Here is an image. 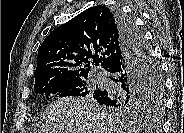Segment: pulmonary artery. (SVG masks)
<instances>
[{
    "instance_id": "obj_1",
    "label": "pulmonary artery",
    "mask_w": 184,
    "mask_h": 133,
    "mask_svg": "<svg viewBox=\"0 0 184 133\" xmlns=\"http://www.w3.org/2000/svg\"><path fill=\"white\" fill-rule=\"evenodd\" d=\"M98 78L102 79L103 77H102V75H101V74H99V75H98Z\"/></svg>"
}]
</instances>
